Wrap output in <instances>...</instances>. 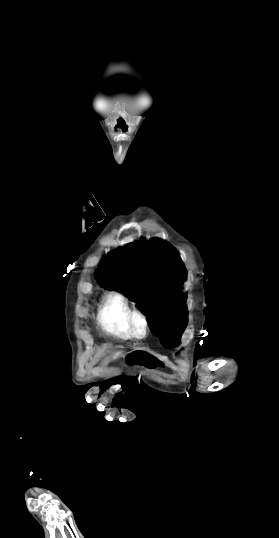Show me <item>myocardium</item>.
Masks as SVG:
<instances>
[{"label":"myocardium","instance_id":"f54148a6","mask_svg":"<svg viewBox=\"0 0 279 538\" xmlns=\"http://www.w3.org/2000/svg\"><path fill=\"white\" fill-rule=\"evenodd\" d=\"M130 335L135 339H145L149 334V321L144 313L133 310L127 320Z\"/></svg>","mask_w":279,"mask_h":538}]
</instances>
